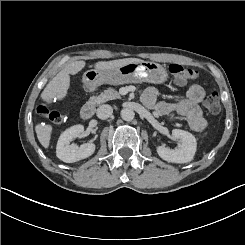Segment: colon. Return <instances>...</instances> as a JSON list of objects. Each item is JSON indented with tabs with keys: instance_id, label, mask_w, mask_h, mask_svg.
Instances as JSON below:
<instances>
[{
	"instance_id": "colon-1",
	"label": "colon",
	"mask_w": 245,
	"mask_h": 245,
	"mask_svg": "<svg viewBox=\"0 0 245 245\" xmlns=\"http://www.w3.org/2000/svg\"><path fill=\"white\" fill-rule=\"evenodd\" d=\"M169 72L176 78L178 82L191 80L197 75V71L195 69L184 67L180 64H171L169 67ZM203 106L209 113H218L221 109L219 97L216 94L208 95L203 100ZM37 112L53 124H61L64 121L63 115L52 109L46 103H41L37 107Z\"/></svg>"
}]
</instances>
